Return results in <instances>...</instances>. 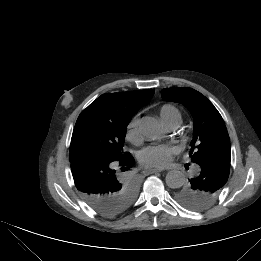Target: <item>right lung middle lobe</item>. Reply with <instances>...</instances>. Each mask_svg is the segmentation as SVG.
I'll use <instances>...</instances> for the list:
<instances>
[{"instance_id": "1", "label": "right lung middle lobe", "mask_w": 261, "mask_h": 261, "mask_svg": "<svg viewBox=\"0 0 261 261\" xmlns=\"http://www.w3.org/2000/svg\"><path fill=\"white\" fill-rule=\"evenodd\" d=\"M128 123L111 114L103 106L91 103L77 119L70 151L84 149L101 157L115 160L130 157V153L123 151ZM137 190L136 180L126 177L121 190L117 193L124 211L134 201Z\"/></svg>"}]
</instances>
